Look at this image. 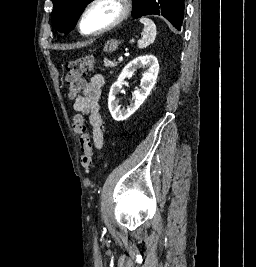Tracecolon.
Here are the masks:
<instances>
[{"label": "colon", "mask_w": 256, "mask_h": 267, "mask_svg": "<svg viewBox=\"0 0 256 267\" xmlns=\"http://www.w3.org/2000/svg\"><path fill=\"white\" fill-rule=\"evenodd\" d=\"M92 65L93 59L91 57L79 58L65 63V69L67 72L66 81L69 85L70 99H75L84 89L85 78ZM73 130L79 136L82 152V166L86 172H89L93 164V149L91 139L87 131V123L83 115H74Z\"/></svg>", "instance_id": "5ec220e1"}]
</instances>
